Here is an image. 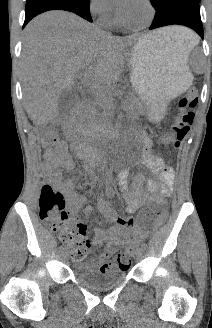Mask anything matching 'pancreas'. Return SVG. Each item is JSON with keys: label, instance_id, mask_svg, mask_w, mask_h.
Listing matches in <instances>:
<instances>
[{"label": "pancreas", "instance_id": "pancreas-1", "mask_svg": "<svg viewBox=\"0 0 212 328\" xmlns=\"http://www.w3.org/2000/svg\"><path fill=\"white\" fill-rule=\"evenodd\" d=\"M101 103L104 109L101 115L93 113L90 104L85 105L81 112L79 126L87 138H94L99 135V132L102 130V122L110 114V110L114 108L113 99L111 97H103ZM141 107V102L136 97L128 98L125 103V108L127 109H139Z\"/></svg>", "mask_w": 212, "mask_h": 328}]
</instances>
